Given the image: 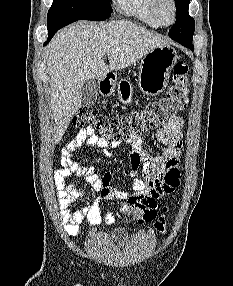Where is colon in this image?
<instances>
[{"instance_id": "colon-1", "label": "colon", "mask_w": 233, "mask_h": 286, "mask_svg": "<svg viewBox=\"0 0 233 286\" xmlns=\"http://www.w3.org/2000/svg\"><path fill=\"white\" fill-rule=\"evenodd\" d=\"M189 66L185 62H178L174 66L173 85L166 95L146 108L129 115L103 118L98 112L82 107L74 117L76 127H93L99 129L103 137L110 141H121L138 136L163 124L178 111L184 109L188 103L190 89ZM130 216L140 219L151 206L152 199L148 194L132 197L129 202ZM156 231L165 233L167 228V207L154 223Z\"/></svg>"}]
</instances>
